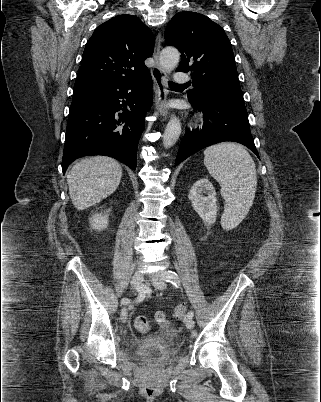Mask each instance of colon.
Returning a JSON list of instances; mask_svg holds the SVG:
<instances>
[{
  "label": "colon",
  "mask_w": 321,
  "mask_h": 402,
  "mask_svg": "<svg viewBox=\"0 0 321 402\" xmlns=\"http://www.w3.org/2000/svg\"><path fill=\"white\" fill-rule=\"evenodd\" d=\"M185 305H179L174 309V317L176 319H180L184 316L185 314ZM159 319H162L163 317L161 315L158 316ZM134 326L137 331L145 333L150 330V321L147 317L145 316H137L134 320Z\"/></svg>",
  "instance_id": "5ec220e1"
}]
</instances>
